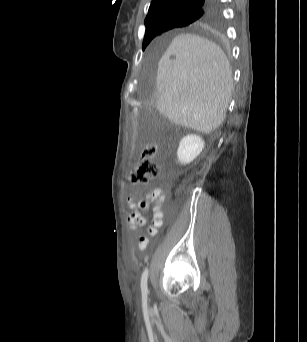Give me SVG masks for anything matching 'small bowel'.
I'll return each mask as SVG.
<instances>
[{"label": "small bowel", "instance_id": "1", "mask_svg": "<svg viewBox=\"0 0 307 342\" xmlns=\"http://www.w3.org/2000/svg\"><path fill=\"white\" fill-rule=\"evenodd\" d=\"M165 198L161 189L154 188L148 191L144 198L136 200L134 196L130 195L128 197V204L131 212L127 216V223L132 231H135L137 227H142L146 225V219L142 216L141 212L148 211L150 209V204L153 202V222L148 228V235L154 236L158 232V228L162 224L163 211L162 207ZM148 244V238L146 236H141L139 239L138 247L142 251L146 248Z\"/></svg>", "mask_w": 307, "mask_h": 342}]
</instances>
